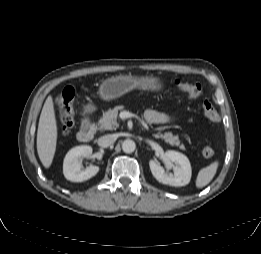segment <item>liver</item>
Listing matches in <instances>:
<instances>
[{
	"mask_svg": "<svg viewBox=\"0 0 261 254\" xmlns=\"http://www.w3.org/2000/svg\"><path fill=\"white\" fill-rule=\"evenodd\" d=\"M57 135L54 103L52 97L49 96L42 108L37 130V152L45 168H49L52 164L56 151Z\"/></svg>",
	"mask_w": 261,
	"mask_h": 254,
	"instance_id": "liver-1",
	"label": "liver"
}]
</instances>
